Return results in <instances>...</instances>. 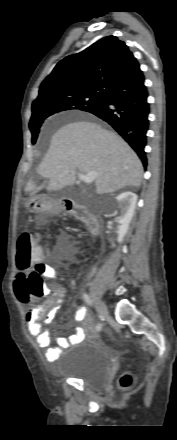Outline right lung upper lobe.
<instances>
[{
  "label": "right lung upper lobe",
  "instance_id": "1",
  "mask_svg": "<svg viewBox=\"0 0 177 440\" xmlns=\"http://www.w3.org/2000/svg\"><path fill=\"white\" fill-rule=\"evenodd\" d=\"M140 70L128 46L115 36L98 40L61 60L42 82L33 107L68 94H102Z\"/></svg>",
  "mask_w": 177,
  "mask_h": 440
}]
</instances>
